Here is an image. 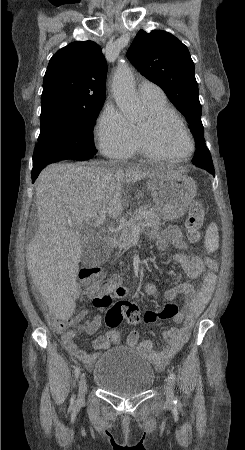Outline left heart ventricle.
Here are the masks:
<instances>
[{
  "label": "left heart ventricle",
  "instance_id": "left-heart-ventricle-1",
  "mask_svg": "<svg viewBox=\"0 0 245 450\" xmlns=\"http://www.w3.org/2000/svg\"><path fill=\"white\" fill-rule=\"evenodd\" d=\"M148 119L140 127L146 126ZM157 147L165 154L180 156L189 152L190 143L183 130L175 122L168 120L153 134Z\"/></svg>",
  "mask_w": 245,
  "mask_h": 450
}]
</instances>
